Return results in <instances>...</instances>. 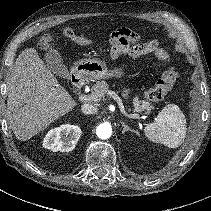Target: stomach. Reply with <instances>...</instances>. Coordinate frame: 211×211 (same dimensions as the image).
<instances>
[{"mask_svg":"<svg viewBox=\"0 0 211 211\" xmlns=\"http://www.w3.org/2000/svg\"><path fill=\"white\" fill-rule=\"evenodd\" d=\"M74 70L79 74L93 79L117 78L125 75L123 68L108 70L105 63L96 59H82L75 63Z\"/></svg>","mask_w":211,"mask_h":211,"instance_id":"0dacf381","label":"stomach"}]
</instances>
